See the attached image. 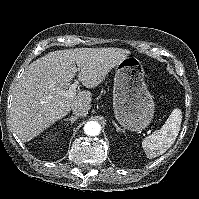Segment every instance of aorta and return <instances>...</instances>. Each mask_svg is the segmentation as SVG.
<instances>
[{
  "label": "aorta",
  "instance_id": "762f6f07",
  "mask_svg": "<svg viewBox=\"0 0 199 199\" xmlns=\"http://www.w3.org/2000/svg\"><path fill=\"white\" fill-rule=\"evenodd\" d=\"M84 132L89 136H96L100 132V125L95 121L87 122L84 126Z\"/></svg>",
  "mask_w": 199,
  "mask_h": 199
}]
</instances>
